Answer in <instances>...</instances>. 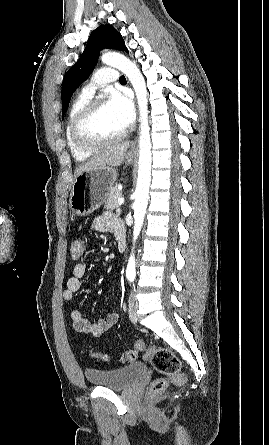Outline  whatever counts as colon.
Returning a JSON list of instances; mask_svg holds the SVG:
<instances>
[{"instance_id":"colon-1","label":"colon","mask_w":269,"mask_h":445,"mask_svg":"<svg viewBox=\"0 0 269 445\" xmlns=\"http://www.w3.org/2000/svg\"><path fill=\"white\" fill-rule=\"evenodd\" d=\"M85 250V242L82 239H75L70 246L71 257L75 260L82 257ZM136 348L139 351H144V357L148 360L154 369L162 375V377L156 378L151 386V394H159L163 392L169 381L174 383H182L185 380V375L181 372V362L177 356L168 348L151 346L146 348L143 341L136 343ZM91 354L105 362L110 361L111 357L105 353H99L91 351ZM136 359V353L134 351H126L121 360L124 363H132Z\"/></svg>"}]
</instances>
